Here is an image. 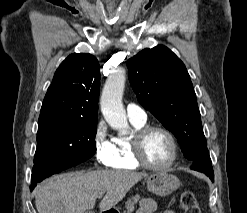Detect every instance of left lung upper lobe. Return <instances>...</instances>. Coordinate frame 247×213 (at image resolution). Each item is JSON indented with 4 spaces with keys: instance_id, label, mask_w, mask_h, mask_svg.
<instances>
[{
    "instance_id": "left-lung-upper-lobe-1",
    "label": "left lung upper lobe",
    "mask_w": 247,
    "mask_h": 213,
    "mask_svg": "<svg viewBox=\"0 0 247 213\" xmlns=\"http://www.w3.org/2000/svg\"><path fill=\"white\" fill-rule=\"evenodd\" d=\"M129 81L140 104L178 139L192 160L207 142L190 76L166 46L144 49L127 61Z\"/></svg>"
}]
</instances>
